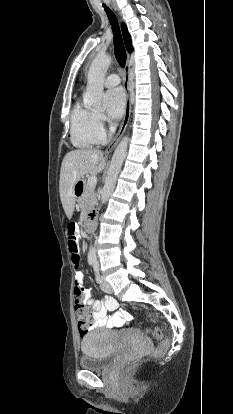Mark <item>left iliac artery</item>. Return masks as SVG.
I'll list each match as a JSON object with an SVG mask.
<instances>
[{"label": "left iliac artery", "mask_w": 233, "mask_h": 414, "mask_svg": "<svg viewBox=\"0 0 233 414\" xmlns=\"http://www.w3.org/2000/svg\"><path fill=\"white\" fill-rule=\"evenodd\" d=\"M93 268H94L95 278H96L97 283H102L103 278L101 277V275L99 273V264L98 263H94L93 264Z\"/></svg>", "instance_id": "obj_1"}]
</instances>
